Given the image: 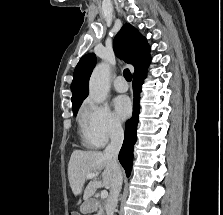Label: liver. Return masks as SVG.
I'll list each match as a JSON object with an SVG mask.
<instances>
[{"label": "liver", "instance_id": "obj_1", "mask_svg": "<svg viewBox=\"0 0 223 215\" xmlns=\"http://www.w3.org/2000/svg\"><path fill=\"white\" fill-rule=\"evenodd\" d=\"M102 171V179H93L89 181L87 187L83 191V199H88L94 195L97 187H111L113 181V169L111 159L105 157L102 151H80L75 149L71 153L68 163V179L70 187L74 195L81 193L85 179H88V173H100Z\"/></svg>", "mask_w": 223, "mask_h": 215}]
</instances>
